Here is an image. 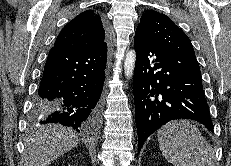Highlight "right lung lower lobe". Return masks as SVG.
I'll list each match as a JSON object with an SVG mask.
<instances>
[{"instance_id": "obj_1", "label": "right lung lower lobe", "mask_w": 231, "mask_h": 166, "mask_svg": "<svg viewBox=\"0 0 231 166\" xmlns=\"http://www.w3.org/2000/svg\"><path fill=\"white\" fill-rule=\"evenodd\" d=\"M106 60L107 44L90 50L52 47L34 102L40 123L94 133L101 118Z\"/></svg>"}]
</instances>
